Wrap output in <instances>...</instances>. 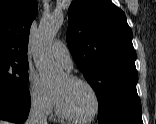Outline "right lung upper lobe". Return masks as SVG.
I'll use <instances>...</instances> for the list:
<instances>
[{
	"label": "right lung upper lobe",
	"mask_w": 156,
	"mask_h": 124,
	"mask_svg": "<svg viewBox=\"0 0 156 124\" xmlns=\"http://www.w3.org/2000/svg\"><path fill=\"white\" fill-rule=\"evenodd\" d=\"M37 0H0V62H27L29 31Z\"/></svg>",
	"instance_id": "cb5924a9"
}]
</instances>
